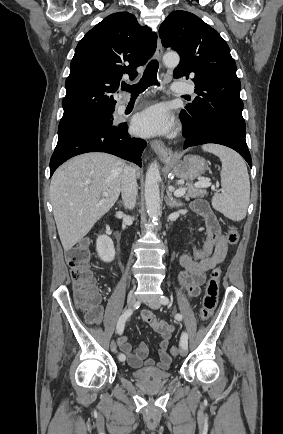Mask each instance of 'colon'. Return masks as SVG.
Listing matches in <instances>:
<instances>
[{"label": "colon", "mask_w": 283, "mask_h": 434, "mask_svg": "<svg viewBox=\"0 0 283 434\" xmlns=\"http://www.w3.org/2000/svg\"><path fill=\"white\" fill-rule=\"evenodd\" d=\"M238 239L239 231L237 227L231 226L226 233L227 242L235 244ZM66 261L70 268L77 303L84 310L87 319L91 323L98 322L101 316V308L95 278L90 267L88 242L81 241L71 247L66 252ZM220 275L221 270L219 268L214 269L206 283L200 309V316L203 321L210 319L217 306ZM170 354L173 357L177 356L179 348L176 346L171 347Z\"/></svg>", "instance_id": "obj_1"}]
</instances>
